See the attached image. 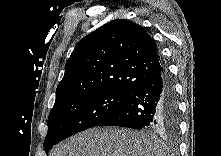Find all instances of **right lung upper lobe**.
<instances>
[{"mask_svg": "<svg viewBox=\"0 0 221 156\" xmlns=\"http://www.w3.org/2000/svg\"><path fill=\"white\" fill-rule=\"evenodd\" d=\"M164 65L154 40L134 22L113 20L75 46L57 86L55 104L96 92L132 94Z\"/></svg>", "mask_w": 221, "mask_h": 156, "instance_id": "right-lung-upper-lobe-1", "label": "right lung upper lobe"}]
</instances>
